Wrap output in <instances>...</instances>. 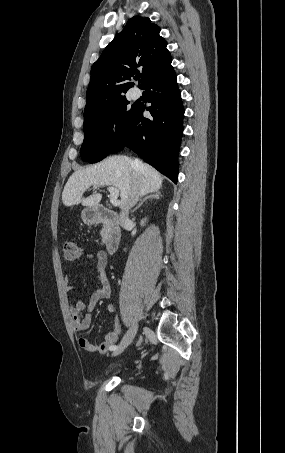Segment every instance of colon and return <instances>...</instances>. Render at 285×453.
Returning a JSON list of instances; mask_svg holds the SVG:
<instances>
[{
    "mask_svg": "<svg viewBox=\"0 0 285 453\" xmlns=\"http://www.w3.org/2000/svg\"><path fill=\"white\" fill-rule=\"evenodd\" d=\"M63 252L66 260L74 261L81 256L82 249L74 239H71L64 243Z\"/></svg>",
    "mask_w": 285,
    "mask_h": 453,
    "instance_id": "1",
    "label": "colon"
}]
</instances>
